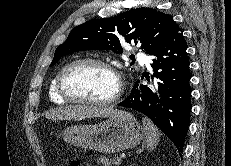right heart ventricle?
<instances>
[{
	"instance_id": "right-heart-ventricle-1",
	"label": "right heart ventricle",
	"mask_w": 231,
	"mask_h": 166,
	"mask_svg": "<svg viewBox=\"0 0 231 166\" xmlns=\"http://www.w3.org/2000/svg\"><path fill=\"white\" fill-rule=\"evenodd\" d=\"M56 79H57V75L52 79L50 83L49 97L52 102L57 103V104H62L65 102V99H63L57 91Z\"/></svg>"
}]
</instances>
